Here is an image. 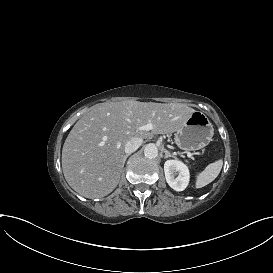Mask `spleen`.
Returning <instances> with one entry per match:
<instances>
[{
  "mask_svg": "<svg viewBox=\"0 0 273 273\" xmlns=\"http://www.w3.org/2000/svg\"><path fill=\"white\" fill-rule=\"evenodd\" d=\"M223 165L222 160H218L214 163L209 164L203 172H201L196 181V187L202 188L212 181L215 180V178L219 175L221 168Z\"/></svg>",
  "mask_w": 273,
  "mask_h": 273,
  "instance_id": "3e777b00",
  "label": "spleen"
}]
</instances>
